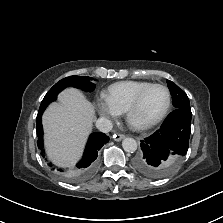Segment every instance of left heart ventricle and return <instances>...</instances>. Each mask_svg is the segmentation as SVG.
Masks as SVG:
<instances>
[{"label":"left heart ventricle","instance_id":"left-heart-ventricle-1","mask_svg":"<svg viewBox=\"0 0 223 223\" xmlns=\"http://www.w3.org/2000/svg\"><path fill=\"white\" fill-rule=\"evenodd\" d=\"M166 103L167 94L164 89L160 87L151 89L132 114V122L142 124L156 119L164 110Z\"/></svg>","mask_w":223,"mask_h":223}]
</instances>
